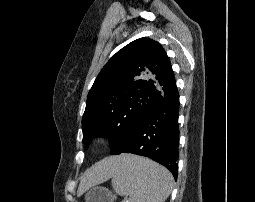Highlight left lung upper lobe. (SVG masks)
I'll return each instance as SVG.
<instances>
[{"label": "left lung upper lobe", "instance_id": "left-lung-upper-lobe-1", "mask_svg": "<svg viewBox=\"0 0 255 202\" xmlns=\"http://www.w3.org/2000/svg\"><path fill=\"white\" fill-rule=\"evenodd\" d=\"M177 90L169 58L149 38L137 39L106 63L89 91L82 117L83 142L109 135L111 154L126 146L147 114Z\"/></svg>", "mask_w": 255, "mask_h": 202}]
</instances>
